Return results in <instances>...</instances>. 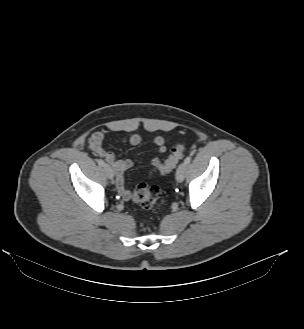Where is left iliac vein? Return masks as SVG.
Wrapping results in <instances>:
<instances>
[{
	"mask_svg": "<svg viewBox=\"0 0 304 329\" xmlns=\"http://www.w3.org/2000/svg\"><path fill=\"white\" fill-rule=\"evenodd\" d=\"M185 172H186V164L183 162L178 166L176 171V180L178 182H182L184 180Z\"/></svg>",
	"mask_w": 304,
	"mask_h": 329,
	"instance_id": "obj_1",
	"label": "left iliac vein"
}]
</instances>
